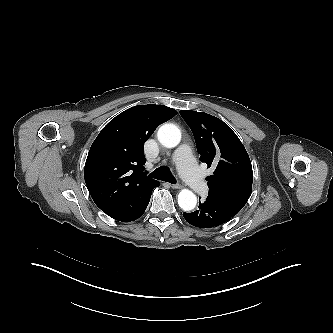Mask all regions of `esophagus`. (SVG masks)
Instances as JSON below:
<instances>
[{
  "label": "esophagus",
  "mask_w": 333,
  "mask_h": 333,
  "mask_svg": "<svg viewBox=\"0 0 333 333\" xmlns=\"http://www.w3.org/2000/svg\"><path fill=\"white\" fill-rule=\"evenodd\" d=\"M169 185L173 189H180V188H182V185H180V184H169Z\"/></svg>",
  "instance_id": "obj_1"
}]
</instances>
